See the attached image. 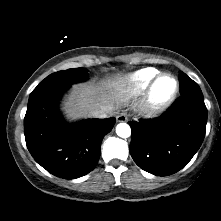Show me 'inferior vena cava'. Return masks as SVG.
<instances>
[{
  "label": "inferior vena cava",
  "mask_w": 221,
  "mask_h": 221,
  "mask_svg": "<svg viewBox=\"0 0 221 221\" xmlns=\"http://www.w3.org/2000/svg\"><path fill=\"white\" fill-rule=\"evenodd\" d=\"M109 110L107 108H99L92 110L90 115L95 118H107Z\"/></svg>",
  "instance_id": "obj_1"
}]
</instances>
